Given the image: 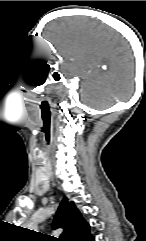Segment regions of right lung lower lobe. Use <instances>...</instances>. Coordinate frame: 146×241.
<instances>
[{"mask_svg":"<svg viewBox=\"0 0 146 241\" xmlns=\"http://www.w3.org/2000/svg\"><path fill=\"white\" fill-rule=\"evenodd\" d=\"M88 241H94V237H90V239H88Z\"/></svg>","mask_w":146,"mask_h":241,"instance_id":"obj_1","label":"right lung lower lobe"}]
</instances>
